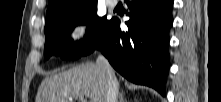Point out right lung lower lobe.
<instances>
[{"mask_svg":"<svg viewBox=\"0 0 221 102\" xmlns=\"http://www.w3.org/2000/svg\"><path fill=\"white\" fill-rule=\"evenodd\" d=\"M130 20L128 31L112 18L84 55L100 50L110 64L131 82L143 84L165 95L169 70V31L173 24L172 0H125ZM83 55V56H84Z\"/></svg>","mask_w":221,"mask_h":102,"instance_id":"right-lung-lower-lobe-1","label":"right lung lower lobe"}]
</instances>
